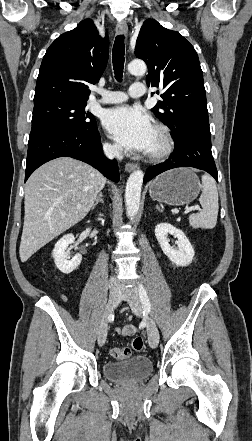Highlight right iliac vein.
I'll return each instance as SVG.
<instances>
[{
	"label": "right iliac vein",
	"mask_w": 252,
	"mask_h": 441,
	"mask_svg": "<svg viewBox=\"0 0 252 441\" xmlns=\"http://www.w3.org/2000/svg\"><path fill=\"white\" fill-rule=\"evenodd\" d=\"M123 297V293L119 290L112 289L109 293L108 304L105 308L104 315L98 331V344L102 346L105 343L108 331V316L114 310L116 305Z\"/></svg>",
	"instance_id": "1"
}]
</instances>
